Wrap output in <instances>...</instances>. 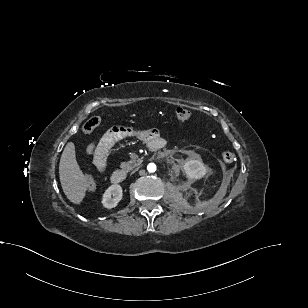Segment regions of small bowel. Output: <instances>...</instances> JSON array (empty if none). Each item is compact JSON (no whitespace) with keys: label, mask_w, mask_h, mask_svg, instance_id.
<instances>
[{"label":"small bowel","mask_w":308,"mask_h":308,"mask_svg":"<svg viewBox=\"0 0 308 308\" xmlns=\"http://www.w3.org/2000/svg\"><path fill=\"white\" fill-rule=\"evenodd\" d=\"M136 134V136L146 143H150L154 139H160L159 132L156 129L149 128L134 132L125 127H113L106 132L101 138L89 145L87 151L93 157V163L96 168L103 172L107 166V156L110 149L119 140Z\"/></svg>","instance_id":"1"}]
</instances>
